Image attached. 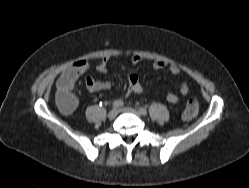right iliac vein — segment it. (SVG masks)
Wrapping results in <instances>:
<instances>
[{
	"label": "right iliac vein",
	"instance_id": "obj_1",
	"mask_svg": "<svg viewBox=\"0 0 249 188\" xmlns=\"http://www.w3.org/2000/svg\"><path fill=\"white\" fill-rule=\"evenodd\" d=\"M117 114H118L117 109L114 108V109L110 110L109 113H108V119L109 120L115 119Z\"/></svg>",
	"mask_w": 249,
	"mask_h": 188
}]
</instances>
